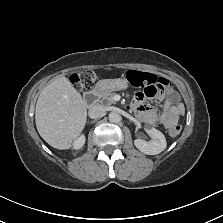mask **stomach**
I'll use <instances>...</instances> for the list:
<instances>
[{"mask_svg": "<svg viewBox=\"0 0 223 223\" xmlns=\"http://www.w3.org/2000/svg\"><path fill=\"white\" fill-rule=\"evenodd\" d=\"M127 82L123 79H108V80H101L98 82L96 86V90L100 93L106 91H114L126 88Z\"/></svg>", "mask_w": 223, "mask_h": 223, "instance_id": "1", "label": "stomach"}]
</instances>
